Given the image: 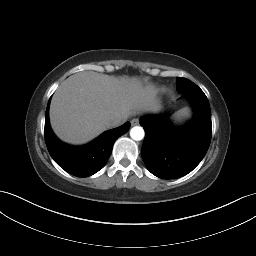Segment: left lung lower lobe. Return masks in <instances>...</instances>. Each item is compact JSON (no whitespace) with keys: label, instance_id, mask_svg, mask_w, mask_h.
<instances>
[{"label":"left lung lower lobe","instance_id":"1","mask_svg":"<svg viewBox=\"0 0 256 256\" xmlns=\"http://www.w3.org/2000/svg\"><path fill=\"white\" fill-rule=\"evenodd\" d=\"M183 94L194 108V117L185 126L176 127L161 116L140 119L145 130L143 161L152 174L162 179H177L191 172L204 158L211 141V111L206 95L197 85Z\"/></svg>","mask_w":256,"mask_h":256}]
</instances>
